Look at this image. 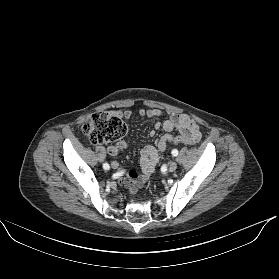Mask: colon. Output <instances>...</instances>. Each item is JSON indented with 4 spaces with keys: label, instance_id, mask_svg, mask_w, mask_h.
<instances>
[{
    "label": "colon",
    "instance_id": "5ec220e1",
    "mask_svg": "<svg viewBox=\"0 0 279 279\" xmlns=\"http://www.w3.org/2000/svg\"><path fill=\"white\" fill-rule=\"evenodd\" d=\"M83 132L89 137L92 144L113 142L121 139L126 134L125 123L115 114L108 111H99L91 114L84 122ZM174 144L194 145L187 138L177 136Z\"/></svg>",
    "mask_w": 279,
    "mask_h": 279
}]
</instances>
